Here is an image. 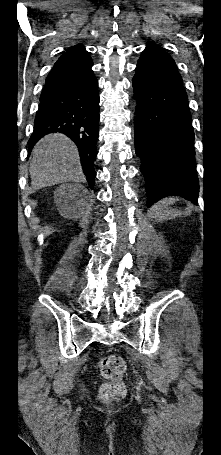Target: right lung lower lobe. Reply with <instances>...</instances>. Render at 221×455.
<instances>
[{
  "label": "right lung lower lobe",
  "mask_w": 221,
  "mask_h": 455,
  "mask_svg": "<svg viewBox=\"0 0 221 455\" xmlns=\"http://www.w3.org/2000/svg\"><path fill=\"white\" fill-rule=\"evenodd\" d=\"M92 65L85 49L66 53L58 59L46 79L28 142L32 148L46 134L67 135L78 147L82 169L91 188L96 177L94 159L99 123L98 81Z\"/></svg>",
  "instance_id": "1"
}]
</instances>
